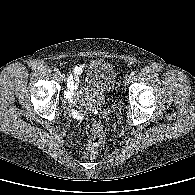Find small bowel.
I'll use <instances>...</instances> for the list:
<instances>
[{
    "mask_svg": "<svg viewBox=\"0 0 195 195\" xmlns=\"http://www.w3.org/2000/svg\"><path fill=\"white\" fill-rule=\"evenodd\" d=\"M86 68H87V66H85V65H77L74 67L73 71L69 74L68 80H67V87L70 90V92L67 94V97L69 99H72L71 92L77 89L79 76L83 72V70ZM92 112L96 113V110L93 109ZM72 114H73L74 118L82 119V115L79 112L73 111Z\"/></svg>",
    "mask_w": 195,
    "mask_h": 195,
    "instance_id": "small-bowel-1",
    "label": "small bowel"
}]
</instances>
